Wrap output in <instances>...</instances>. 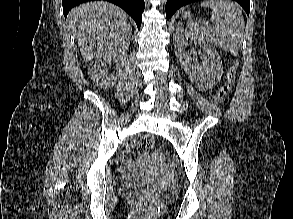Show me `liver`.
<instances>
[{
  "instance_id": "1",
  "label": "liver",
  "mask_w": 293,
  "mask_h": 219,
  "mask_svg": "<svg viewBox=\"0 0 293 219\" xmlns=\"http://www.w3.org/2000/svg\"><path fill=\"white\" fill-rule=\"evenodd\" d=\"M67 19L87 62L94 57L119 56L129 48L131 28L127 15L112 3L82 4L73 8Z\"/></svg>"
}]
</instances>
